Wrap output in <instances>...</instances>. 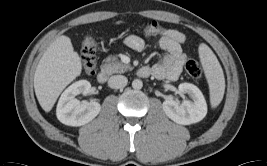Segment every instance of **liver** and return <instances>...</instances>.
Returning a JSON list of instances; mask_svg holds the SVG:
<instances>
[{"label": "liver", "mask_w": 267, "mask_h": 166, "mask_svg": "<svg viewBox=\"0 0 267 166\" xmlns=\"http://www.w3.org/2000/svg\"><path fill=\"white\" fill-rule=\"evenodd\" d=\"M81 71V58L70 38L58 37L44 52L34 74L35 94L45 112L51 111L61 92Z\"/></svg>", "instance_id": "liver-1"}]
</instances>
